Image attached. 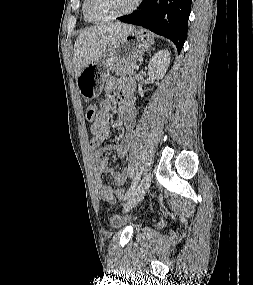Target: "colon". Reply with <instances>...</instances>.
<instances>
[{"label": "colon", "instance_id": "obj_1", "mask_svg": "<svg viewBox=\"0 0 253 285\" xmlns=\"http://www.w3.org/2000/svg\"><path fill=\"white\" fill-rule=\"evenodd\" d=\"M96 114V107L94 105H88L86 107V118L87 120L91 121L94 119ZM118 193L121 197H123L125 195V191L124 189H119Z\"/></svg>", "mask_w": 253, "mask_h": 285}]
</instances>
